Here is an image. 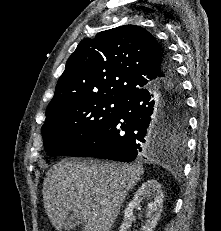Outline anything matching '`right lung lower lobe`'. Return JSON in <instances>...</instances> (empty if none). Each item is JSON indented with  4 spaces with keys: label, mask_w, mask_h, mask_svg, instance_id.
Here are the masks:
<instances>
[{
    "label": "right lung lower lobe",
    "mask_w": 221,
    "mask_h": 231,
    "mask_svg": "<svg viewBox=\"0 0 221 231\" xmlns=\"http://www.w3.org/2000/svg\"><path fill=\"white\" fill-rule=\"evenodd\" d=\"M161 70L159 83L125 98L100 130L64 155L131 162L161 153L170 136L161 121L163 110L168 103H185L175 64L165 49Z\"/></svg>",
    "instance_id": "1"
}]
</instances>
